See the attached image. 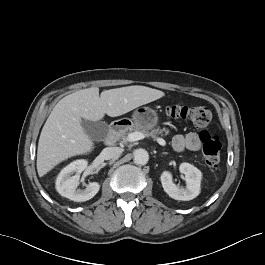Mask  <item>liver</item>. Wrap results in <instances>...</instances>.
I'll return each instance as SVG.
<instances>
[{
    "label": "liver",
    "mask_w": 265,
    "mask_h": 265,
    "mask_svg": "<svg viewBox=\"0 0 265 265\" xmlns=\"http://www.w3.org/2000/svg\"><path fill=\"white\" fill-rule=\"evenodd\" d=\"M164 96L146 86H127L105 90L76 91L62 98L46 120L38 142L37 172L40 177L70 157L87 154L94 143L82 126V119L99 121L105 114L116 117Z\"/></svg>",
    "instance_id": "liver-1"
}]
</instances>
